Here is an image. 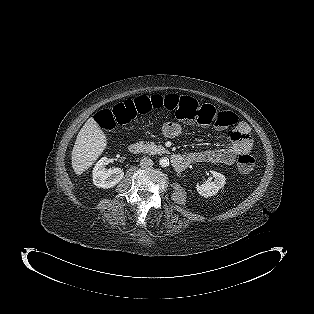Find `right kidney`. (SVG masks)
<instances>
[{"mask_svg": "<svg viewBox=\"0 0 314 314\" xmlns=\"http://www.w3.org/2000/svg\"><path fill=\"white\" fill-rule=\"evenodd\" d=\"M109 162L110 159L103 157L93 168V183L99 188H112L124 177V172L121 168L106 169L105 167Z\"/></svg>", "mask_w": 314, "mask_h": 314, "instance_id": "ca27d5eb", "label": "right kidney"}]
</instances>
